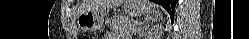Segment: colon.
<instances>
[{
  "instance_id": "obj_1",
  "label": "colon",
  "mask_w": 249,
  "mask_h": 39,
  "mask_svg": "<svg viewBox=\"0 0 249 39\" xmlns=\"http://www.w3.org/2000/svg\"><path fill=\"white\" fill-rule=\"evenodd\" d=\"M82 39H90V37L85 35L82 37Z\"/></svg>"
}]
</instances>
